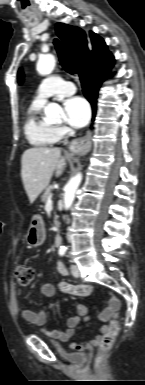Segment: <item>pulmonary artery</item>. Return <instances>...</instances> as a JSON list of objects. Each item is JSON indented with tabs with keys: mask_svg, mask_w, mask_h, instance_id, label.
Wrapping results in <instances>:
<instances>
[{
	"mask_svg": "<svg viewBox=\"0 0 145 385\" xmlns=\"http://www.w3.org/2000/svg\"><path fill=\"white\" fill-rule=\"evenodd\" d=\"M76 88L72 82L64 81L61 77L53 75L43 80L39 85L34 102L44 104L52 96H64L75 93Z\"/></svg>",
	"mask_w": 145,
	"mask_h": 385,
	"instance_id": "obj_1",
	"label": "pulmonary artery"
}]
</instances>
